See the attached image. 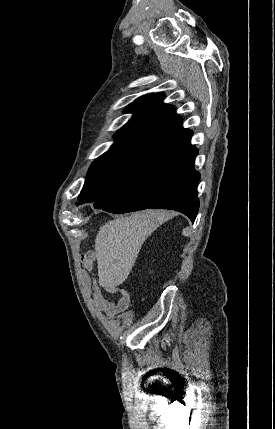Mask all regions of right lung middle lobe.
Segmentation results:
<instances>
[{
    "label": "right lung middle lobe",
    "mask_w": 275,
    "mask_h": 429,
    "mask_svg": "<svg viewBox=\"0 0 275 429\" xmlns=\"http://www.w3.org/2000/svg\"><path fill=\"white\" fill-rule=\"evenodd\" d=\"M149 160L124 151H107L90 166L78 197L80 203H91L117 189Z\"/></svg>",
    "instance_id": "1"
}]
</instances>
